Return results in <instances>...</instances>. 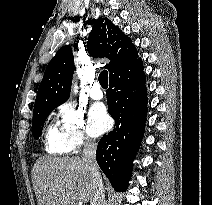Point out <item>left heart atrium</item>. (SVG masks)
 <instances>
[{"label":"left heart atrium","mask_w":212,"mask_h":205,"mask_svg":"<svg viewBox=\"0 0 212 205\" xmlns=\"http://www.w3.org/2000/svg\"><path fill=\"white\" fill-rule=\"evenodd\" d=\"M110 116L103 104H94L89 111V131L93 136H98L109 129Z\"/></svg>","instance_id":"obj_1"}]
</instances>
